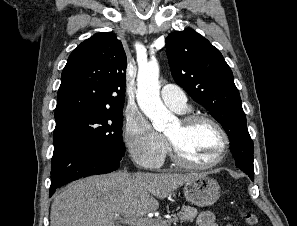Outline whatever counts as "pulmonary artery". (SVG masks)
Returning <instances> with one entry per match:
<instances>
[{
  "mask_svg": "<svg viewBox=\"0 0 297 226\" xmlns=\"http://www.w3.org/2000/svg\"><path fill=\"white\" fill-rule=\"evenodd\" d=\"M161 98L169 108L176 112L181 113L188 110L186 94L178 86L164 85L161 88Z\"/></svg>",
  "mask_w": 297,
  "mask_h": 226,
  "instance_id": "e3ab8cb5",
  "label": "pulmonary artery"
}]
</instances>
